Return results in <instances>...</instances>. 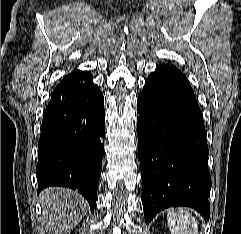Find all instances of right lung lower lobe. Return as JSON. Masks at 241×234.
<instances>
[{"label":"right lung lower lobe","instance_id":"right-lung-lower-lobe-1","mask_svg":"<svg viewBox=\"0 0 241 234\" xmlns=\"http://www.w3.org/2000/svg\"><path fill=\"white\" fill-rule=\"evenodd\" d=\"M104 98L90 72L77 70L57 85L44 111L38 142V192L62 186L94 210L102 170Z\"/></svg>","mask_w":241,"mask_h":234}]
</instances>
